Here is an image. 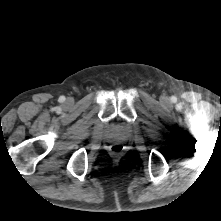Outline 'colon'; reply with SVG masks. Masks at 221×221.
<instances>
[{
  "instance_id": "colon-1",
  "label": "colon",
  "mask_w": 221,
  "mask_h": 221,
  "mask_svg": "<svg viewBox=\"0 0 221 221\" xmlns=\"http://www.w3.org/2000/svg\"><path fill=\"white\" fill-rule=\"evenodd\" d=\"M123 145L122 144H119V143H117V144H113L112 146H111V152L112 153H114V154H119V153H121L122 151H123Z\"/></svg>"
}]
</instances>
